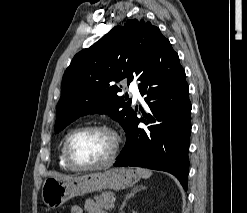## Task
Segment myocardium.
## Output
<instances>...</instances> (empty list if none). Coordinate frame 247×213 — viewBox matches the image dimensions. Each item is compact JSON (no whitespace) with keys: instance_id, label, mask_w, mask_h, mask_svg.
Instances as JSON below:
<instances>
[{"instance_id":"myocardium-1","label":"myocardium","mask_w":247,"mask_h":213,"mask_svg":"<svg viewBox=\"0 0 247 213\" xmlns=\"http://www.w3.org/2000/svg\"><path fill=\"white\" fill-rule=\"evenodd\" d=\"M89 131H102L109 133L114 140L113 143V149L110 154V156L104 160L103 162L96 163V164H82L76 161L72 155L71 152V143L75 136H77L80 133L83 132H89ZM120 149V138L115 130H113L111 127L103 124H94V125H86L79 128H76L72 130L65 138L64 144H63V153L66 163L74 170L79 171H89V170H96L101 169L104 167H107L114 163L116 160L118 153Z\"/></svg>"}]
</instances>
